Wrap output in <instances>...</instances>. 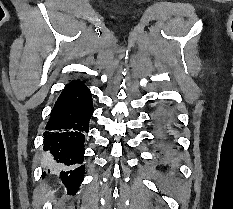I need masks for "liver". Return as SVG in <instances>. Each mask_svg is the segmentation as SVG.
I'll return each mask as SVG.
<instances>
[{"mask_svg": "<svg viewBox=\"0 0 233 209\" xmlns=\"http://www.w3.org/2000/svg\"><path fill=\"white\" fill-rule=\"evenodd\" d=\"M53 193H54V190H53V191L48 192L46 195H47V196H49V195H51V194H53Z\"/></svg>", "mask_w": 233, "mask_h": 209, "instance_id": "obj_1", "label": "liver"}]
</instances>
